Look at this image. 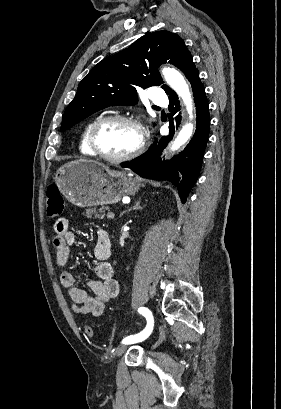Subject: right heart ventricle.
Instances as JSON below:
<instances>
[{
  "label": "right heart ventricle",
  "mask_w": 281,
  "mask_h": 409,
  "mask_svg": "<svg viewBox=\"0 0 281 409\" xmlns=\"http://www.w3.org/2000/svg\"><path fill=\"white\" fill-rule=\"evenodd\" d=\"M102 117H96L91 119L85 126L80 143H79V150L81 154L86 155V156H96L92 145H91V136H92V131L96 125V123L101 119Z\"/></svg>",
  "instance_id": "right-heart-ventricle-1"
}]
</instances>
